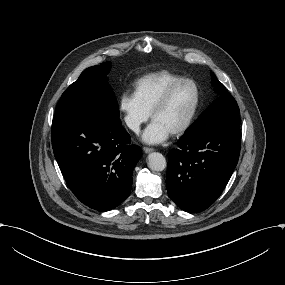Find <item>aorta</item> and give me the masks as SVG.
<instances>
[{
  "label": "aorta",
  "instance_id": "762f6f07",
  "mask_svg": "<svg viewBox=\"0 0 285 285\" xmlns=\"http://www.w3.org/2000/svg\"><path fill=\"white\" fill-rule=\"evenodd\" d=\"M148 166L153 171H163L166 167V159L161 153H150L148 155Z\"/></svg>",
  "mask_w": 285,
  "mask_h": 285
}]
</instances>
